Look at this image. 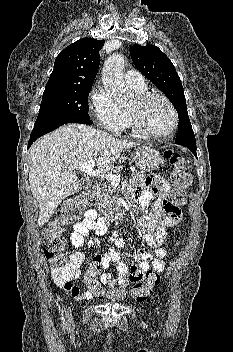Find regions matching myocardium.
<instances>
[{"instance_id":"myocardium-1","label":"myocardium","mask_w":233,"mask_h":352,"mask_svg":"<svg viewBox=\"0 0 233 352\" xmlns=\"http://www.w3.org/2000/svg\"><path fill=\"white\" fill-rule=\"evenodd\" d=\"M153 99H161L169 107V109L172 113V117H173L171 127L166 132H163V133L149 132L142 126V124L139 120L138 114L135 112H132V111H128L130 125H131L132 130L141 137H144L147 139H155V140L164 139V138L168 137L169 135H171L174 132V130L176 129V127L178 125V120H179L178 113H177V110H176L175 106L173 105V103L165 95L160 94V93H156V92H148V93L138 95L137 103H138L139 107H143Z\"/></svg>"}]
</instances>
